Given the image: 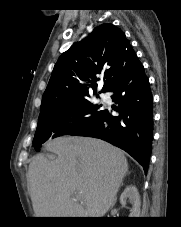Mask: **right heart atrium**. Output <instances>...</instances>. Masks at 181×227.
I'll return each mask as SVG.
<instances>
[{
	"instance_id": "1",
	"label": "right heart atrium",
	"mask_w": 181,
	"mask_h": 227,
	"mask_svg": "<svg viewBox=\"0 0 181 227\" xmlns=\"http://www.w3.org/2000/svg\"><path fill=\"white\" fill-rule=\"evenodd\" d=\"M65 124L68 127H72L75 124L74 118L72 116L67 117L66 120H65Z\"/></svg>"
}]
</instances>
